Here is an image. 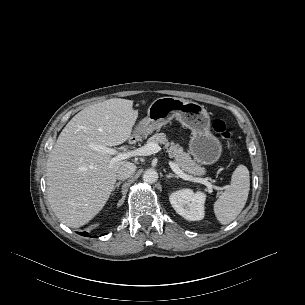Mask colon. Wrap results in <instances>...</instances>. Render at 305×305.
<instances>
[{"label":"colon","mask_w":305,"mask_h":305,"mask_svg":"<svg viewBox=\"0 0 305 305\" xmlns=\"http://www.w3.org/2000/svg\"><path fill=\"white\" fill-rule=\"evenodd\" d=\"M212 127L214 131L226 141L228 147L233 148L232 135L226 123L222 119H215L212 123Z\"/></svg>","instance_id":"5ec220e1"}]
</instances>
